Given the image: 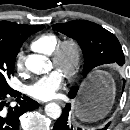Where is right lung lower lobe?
<instances>
[{
    "label": "right lung lower lobe",
    "mask_w": 130,
    "mask_h": 130,
    "mask_svg": "<svg viewBox=\"0 0 130 130\" xmlns=\"http://www.w3.org/2000/svg\"><path fill=\"white\" fill-rule=\"evenodd\" d=\"M15 97L17 105L9 106L7 100ZM39 104L31 98L15 91L10 86H0V130H19V117L27 112L37 109Z\"/></svg>",
    "instance_id": "obj_1"
}]
</instances>
